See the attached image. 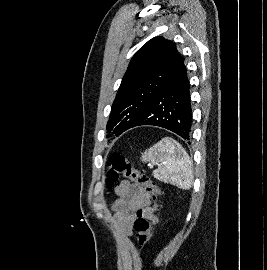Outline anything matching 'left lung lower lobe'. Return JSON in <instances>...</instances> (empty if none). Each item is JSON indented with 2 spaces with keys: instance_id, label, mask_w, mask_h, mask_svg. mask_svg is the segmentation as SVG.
<instances>
[{
  "instance_id": "0a47b994",
  "label": "left lung lower lobe",
  "mask_w": 267,
  "mask_h": 270,
  "mask_svg": "<svg viewBox=\"0 0 267 270\" xmlns=\"http://www.w3.org/2000/svg\"><path fill=\"white\" fill-rule=\"evenodd\" d=\"M141 125L159 126L190 141L192 109L187 70L181 55L166 84L130 128Z\"/></svg>"
}]
</instances>
